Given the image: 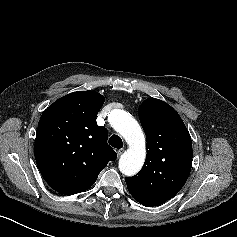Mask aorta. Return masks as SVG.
<instances>
[{"mask_svg": "<svg viewBox=\"0 0 237 237\" xmlns=\"http://www.w3.org/2000/svg\"><path fill=\"white\" fill-rule=\"evenodd\" d=\"M113 128L126 140L129 148L119 160V169L126 176H133L142 168L145 157V137L138 122L126 111L114 109L109 113Z\"/></svg>", "mask_w": 237, "mask_h": 237, "instance_id": "aorta-1", "label": "aorta"}]
</instances>
